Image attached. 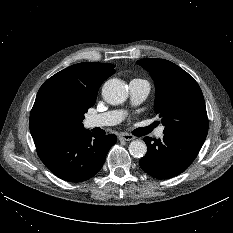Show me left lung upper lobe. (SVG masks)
<instances>
[{
    "label": "left lung upper lobe",
    "instance_id": "5c2ea615",
    "mask_svg": "<svg viewBox=\"0 0 233 233\" xmlns=\"http://www.w3.org/2000/svg\"><path fill=\"white\" fill-rule=\"evenodd\" d=\"M156 88L155 112L165 126L164 134H195L206 137L208 117L202 91L187 72L164 59H141Z\"/></svg>",
    "mask_w": 233,
    "mask_h": 233
}]
</instances>
